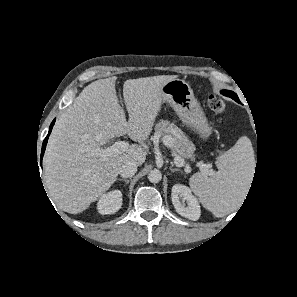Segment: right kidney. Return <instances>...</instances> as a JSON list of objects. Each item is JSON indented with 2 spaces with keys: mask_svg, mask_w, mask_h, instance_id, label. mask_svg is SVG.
<instances>
[{
  "mask_svg": "<svg viewBox=\"0 0 297 297\" xmlns=\"http://www.w3.org/2000/svg\"><path fill=\"white\" fill-rule=\"evenodd\" d=\"M122 205V193L120 190H112L104 194L97 204L98 212L102 215L117 212Z\"/></svg>",
  "mask_w": 297,
  "mask_h": 297,
  "instance_id": "obj_1",
  "label": "right kidney"
}]
</instances>
